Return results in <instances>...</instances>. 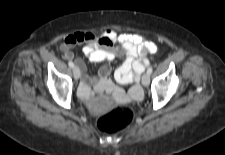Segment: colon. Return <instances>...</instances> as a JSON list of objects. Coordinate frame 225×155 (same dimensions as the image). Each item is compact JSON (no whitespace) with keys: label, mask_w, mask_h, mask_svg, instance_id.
<instances>
[{"label":"colon","mask_w":225,"mask_h":155,"mask_svg":"<svg viewBox=\"0 0 225 155\" xmlns=\"http://www.w3.org/2000/svg\"><path fill=\"white\" fill-rule=\"evenodd\" d=\"M133 119L134 113L130 108L119 107L99 117L97 126L102 132L111 134L128 127Z\"/></svg>","instance_id":"5ec220e1"}]
</instances>
